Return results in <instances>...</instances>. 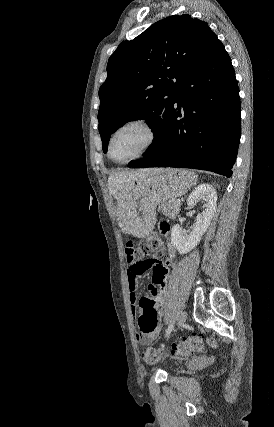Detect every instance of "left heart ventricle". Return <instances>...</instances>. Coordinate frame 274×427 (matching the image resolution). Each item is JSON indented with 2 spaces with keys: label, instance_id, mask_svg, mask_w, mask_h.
Segmentation results:
<instances>
[{
  "label": "left heart ventricle",
  "instance_id": "b2bd125f",
  "mask_svg": "<svg viewBox=\"0 0 274 427\" xmlns=\"http://www.w3.org/2000/svg\"><path fill=\"white\" fill-rule=\"evenodd\" d=\"M148 135L138 126H130L119 131L113 138L111 154L118 161H126L137 154L146 144Z\"/></svg>",
  "mask_w": 274,
  "mask_h": 427
}]
</instances>
